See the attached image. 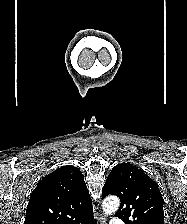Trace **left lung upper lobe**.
<instances>
[{"label": "left lung upper lobe", "instance_id": "left-lung-upper-lobe-1", "mask_svg": "<svg viewBox=\"0 0 187 224\" xmlns=\"http://www.w3.org/2000/svg\"><path fill=\"white\" fill-rule=\"evenodd\" d=\"M107 195L120 198L115 217L125 224H164L163 198L158 185L134 165L122 163L112 168L102 198Z\"/></svg>", "mask_w": 187, "mask_h": 224}]
</instances>
